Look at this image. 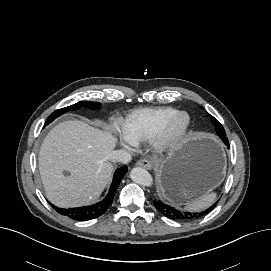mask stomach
Here are the masks:
<instances>
[{"label":"stomach","mask_w":271,"mask_h":271,"mask_svg":"<svg viewBox=\"0 0 271 271\" xmlns=\"http://www.w3.org/2000/svg\"><path fill=\"white\" fill-rule=\"evenodd\" d=\"M226 159L221 145L205 134H192L156 166L161 196L171 202L196 200L222 181Z\"/></svg>","instance_id":"0dacf381"}]
</instances>
